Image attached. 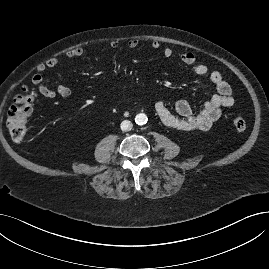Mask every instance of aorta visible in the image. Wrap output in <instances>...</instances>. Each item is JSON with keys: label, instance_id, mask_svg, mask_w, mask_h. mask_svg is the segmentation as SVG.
Wrapping results in <instances>:
<instances>
[{"label": "aorta", "instance_id": "762f6f07", "mask_svg": "<svg viewBox=\"0 0 269 269\" xmlns=\"http://www.w3.org/2000/svg\"><path fill=\"white\" fill-rule=\"evenodd\" d=\"M135 122L138 124V125H143L147 122V116L143 113H140L138 115H136L135 117Z\"/></svg>", "mask_w": 269, "mask_h": 269}]
</instances>
